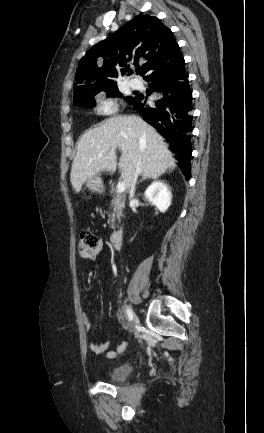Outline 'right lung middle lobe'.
<instances>
[{"mask_svg": "<svg viewBox=\"0 0 264 433\" xmlns=\"http://www.w3.org/2000/svg\"><path fill=\"white\" fill-rule=\"evenodd\" d=\"M105 92H106V94H107L108 97H114V96L122 97L123 96L118 91L117 86L116 87H112L110 89H107V90H105ZM96 94H98V93H93V94H90V95H88V96H86V97H84V98H82V99H80L78 101H74V105L81 103L84 106L92 107L95 104L93 96H95ZM125 99L128 100V102L130 103L131 100L133 99V97H126Z\"/></svg>", "mask_w": 264, "mask_h": 433, "instance_id": "obj_1", "label": "right lung middle lobe"}]
</instances>
